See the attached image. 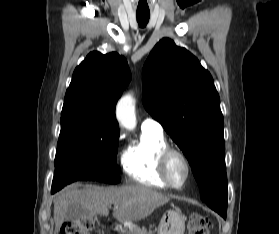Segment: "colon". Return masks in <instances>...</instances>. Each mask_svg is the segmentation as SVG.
Returning a JSON list of instances; mask_svg holds the SVG:
<instances>
[{
    "label": "colon",
    "instance_id": "obj_1",
    "mask_svg": "<svg viewBox=\"0 0 279 234\" xmlns=\"http://www.w3.org/2000/svg\"><path fill=\"white\" fill-rule=\"evenodd\" d=\"M94 225V217L86 216L65 223L61 234H89ZM209 220L200 213H192L188 220V234H208Z\"/></svg>",
    "mask_w": 279,
    "mask_h": 234
}]
</instances>
